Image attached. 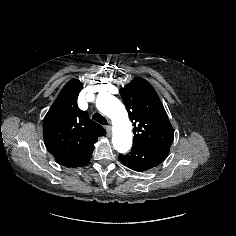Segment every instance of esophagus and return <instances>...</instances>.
I'll return each instance as SVG.
<instances>
[{"instance_id": "34e87169", "label": "esophagus", "mask_w": 236, "mask_h": 236, "mask_svg": "<svg viewBox=\"0 0 236 236\" xmlns=\"http://www.w3.org/2000/svg\"><path fill=\"white\" fill-rule=\"evenodd\" d=\"M106 131H107V135H108V136H111V134H112L111 126H107V127H106Z\"/></svg>"}]
</instances>
